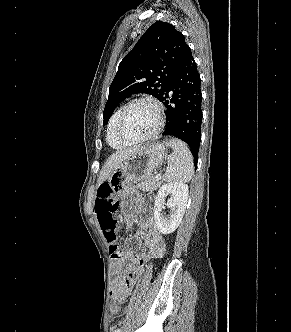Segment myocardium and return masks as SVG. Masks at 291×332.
<instances>
[{
	"instance_id": "1",
	"label": "myocardium",
	"mask_w": 291,
	"mask_h": 332,
	"mask_svg": "<svg viewBox=\"0 0 291 332\" xmlns=\"http://www.w3.org/2000/svg\"><path fill=\"white\" fill-rule=\"evenodd\" d=\"M138 103H148L154 107L156 114H157V126L151 134H149L145 137H142V138L131 139V138L126 137L123 134L122 122H123V119H124L126 113L128 112V110L132 106H134L135 104H138ZM164 124H165V117H164V109H163L162 104L158 100H156L152 97H138V98H135V99L131 100L130 102H128L122 108V110L117 118V121H116V134L121 141H123L129 145L140 144V143L152 140L155 137H157L159 135V133L162 131Z\"/></svg>"
}]
</instances>
